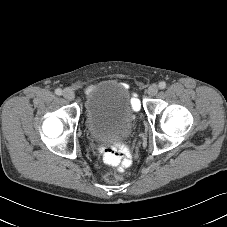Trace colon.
Wrapping results in <instances>:
<instances>
[{
  "mask_svg": "<svg viewBox=\"0 0 227 227\" xmlns=\"http://www.w3.org/2000/svg\"><path fill=\"white\" fill-rule=\"evenodd\" d=\"M123 153L116 150H108L105 154V161L110 165H116L123 159ZM104 179L108 183H116L122 179L120 173L115 170H109L104 174Z\"/></svg>",
  "mask_w": 227,
  "mask_h": 227,
  "instance_id": "colon-1",
  "label": "colon"
}]
</instances>
